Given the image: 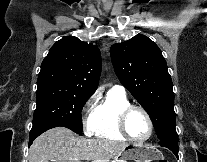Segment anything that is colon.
<instances>
[{"mask_svg": "<svg viewBox=\"0 0 207 162\" xmlns=\"http://www.w3.org/2000/svg\"><path fill=\"white\" fill-rule=\"evenodd\" d=\"M157 162H169L167 160H158Z\"/></svg>", "mask_w": 207, "mask_h": 162, "instance_id": "colon-1", "label": "colon"}]
</instances>
